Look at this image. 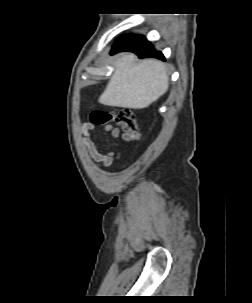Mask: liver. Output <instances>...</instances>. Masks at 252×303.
Listing matches in <instances>:
<instances>
[{
	"instance_id": "1",
	"label": "liver",
	"mask_w": 252,
	"mask_h": 303,
	"mask_svg": "<svg viewBox=\"0 0 252 303\" xmlns=\"http://www.w3.org/2000/svg\"><path fill=\"white\" fill-rule=\"evenodd\" d=\"M135 61L134 54L124 53L113 63L115 71L99 98L100 103L143 109L168 90L169 78L163 62L154 59Z\"/></svg>"
}]
</instances>
